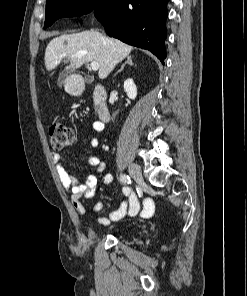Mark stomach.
<instances>
[{
	"instance_id": "obj_1",
	"label": "stomach",
	"mask_w": 247,
	"mask_h": 296,
	"mask_svg": "<svg viewBox=\"0 0 247 296\" xmlns=\"http://www.w3.org/2000/svg\"><path fill=\"white\" fill-rule=\"evenodd\" d=\"M73 82H74V77H71L67 80V84H70V86H73L72 85ZM71 91H72V93H76V89L74 87H71Z\"/></svg>"
}]
</instances>
